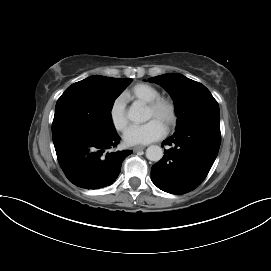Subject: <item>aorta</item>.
I'll return each mask as SVG.
<instances>
[{
  "label": "aorta",
  "instance_id": "762f6f07",
  "mask_svg": "<svg viewBox=\"0 0 271 271\" xmlns=\"http://www.w3.org/2000/svg\"><path fill=\"white\" fill-rule=\"evenodd\" d=\"M127 117L136 124L146 122L150 118L147 110L136 102L131 105ZM146 157L150 161L158 162L163 157V150L160 146L151 145L146 150Z\"/></svg>",
  "mask_w": 271,
  "mask_h": 271
}]
</instances>
